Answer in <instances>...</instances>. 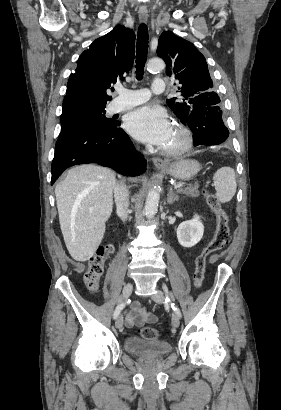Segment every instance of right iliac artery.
<instances>
[{
	"label": "right iliac artery",
	"instance_id": "obj_1",
	"mask_svg": "<svg viewBox=\"0 0 281 410\" xmlns=\"http://www.w3.org/2000/svg\"><path fill=\"white\" fill-rule=\"evenodd\" d=\"M130 302V300H128ZM126 303H119L113 313L114 318H117V316L120 314L122 309L125 307Z\"/></svg>",
	"mask_w": 281,
	"mask_h": 410
}]
</instances>
